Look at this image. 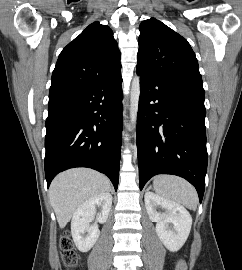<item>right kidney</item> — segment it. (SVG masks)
Returning a JSON list of instances; mask_svg holds the SVG:
<instances>
[{
	"label": "right kidney",
	"instance_id": "right-kidney-1",
	"mask_svg": "<svg viewBox=\"0 0 242 270\" xmlns=\"http://www.w3.org/2000/svg\"><path fill=\"white\" fill-rule=\"evenodd\" d=\"M96 206L102 208V211L97 214L96 222L105 223L112 206V195L105 192L91 197L74 212L71 221V234L76 247L81 252L89 251L100 235L97 223L89 225L95 218Z\"/></svg>",
	"mask_w": 242,
	"mask_h": 270
}]
</instances>
